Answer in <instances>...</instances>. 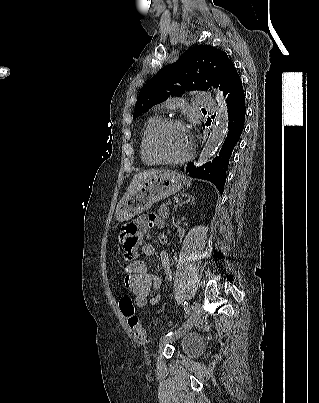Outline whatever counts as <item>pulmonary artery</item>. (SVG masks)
Masks as SVG:
<instances>
[{"label":"pulmonary artery","instance_id":"obj_1","mask_svg":"<svg viewBox=\"0 0 319 403\" xmlns=\"http://www.w3.org/2000/svg\"><path fill=\"white\" fill-rule=\"evenodd\" d=\"M197 98L200 101V105L202 107H212L215 105V102L212 98V96L208 93L205 92H199L197 93ZM182 105L181 101L177 98L170 99L167 101L164 105L163 108L165 109H173L176 106Z\"/></svg>","mask_w":319,"mask_h":403}]
</instances>
